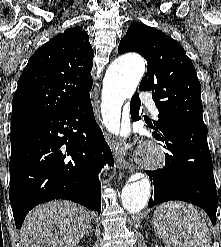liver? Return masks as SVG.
Here are the masks:
<instances>
[{
  "label": "liver",
  "mask_w": 221,
  "mask_h": 247,
  "mask_svg": "<svg viewBox=\"0 0 221 247\" xmlns=\"http://www.w3.org/2000/svg\"><path fill=\"white\" fill-rule=\"evenodd\" d=\"M90 212L69 201L34 208L20 231L21 247H76L89 229Z\"/></svg>",
  "instance_id": "6515ba94"
}]
</instances>
